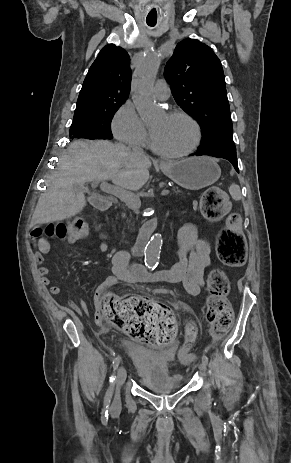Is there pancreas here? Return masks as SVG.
Segmentation results:
<instances>
[{"mask_svg":"<svg viewBox=\"0 0 291 463\" xmlns=\"http://www.w3.org/2000/svg\"><path fill=\"white\" fill-rule=\"evenodd\" d=\"M171 191H172V194H174L176 196H180V197H186L187 195H189V193L184 192L183 190L179 189L176 186H173L171 188Z\"/></svg>","mask_w":291,"mask_h":463,"instance_id":"pancreas-1","label":"pancreas"}]
</instances>
